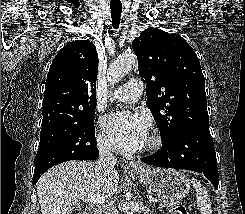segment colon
<instances>
[{"label": "colon", "mask_w": 245, "mask_h": 214, "mask_svg": "<svg viewBox=\"0 0 245 214\" xmlns=\"http://www.w3.org/2000/svg\"><path fill=\"white\" fill-rule=\"evenodd\" d=\"M172 214H189L185 205H177L172 208Z\"/></svg>", "instance_id": "1"}]
</instances>
